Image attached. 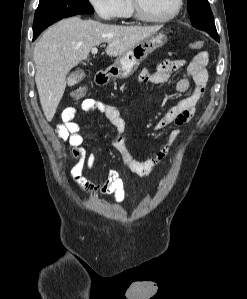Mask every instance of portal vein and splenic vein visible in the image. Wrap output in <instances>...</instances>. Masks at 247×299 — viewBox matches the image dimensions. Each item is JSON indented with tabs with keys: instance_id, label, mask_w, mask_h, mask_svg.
<instances>
[{
	"instance_id": "1",
	"label": "portal vein and splenic vein",
	"mask_w": 247,
	"mask_h": 299,
	"mask_svg": "<svg viewBox=\"0 0 247 299\" xmlns=\"http://www.w3.org/2000/svg\"><path fill=\"white\" fill-rule=\"evenodd\" d=\"M97 52H98V49L96 47H94V48L91 49V53L92 54L95 55V54H97Z\"/></svg>"
}]
</instances>
